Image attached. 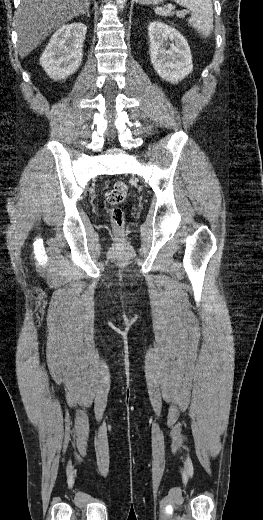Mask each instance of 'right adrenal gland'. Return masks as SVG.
I'll return each instance as SVG.
<instances>
[{
    "label": "right adrenal gland",
    "instance_id": "right-adrenal-gland-1",
    "mask_svg": "<svg viewBox=\"0 0 263 520\" xmlns=\"http://www.w3.org/2000/svg\"><path fill=\"white\" fill-rule=\"evenodd\" d=\"M84 14L87 15V17H90L89 7L87 8V10L85 11ZM84 14H83V15H84Z\"/></svg>",
    "mask_w": 263,
    "mask_h": 520
}]
</instances>
